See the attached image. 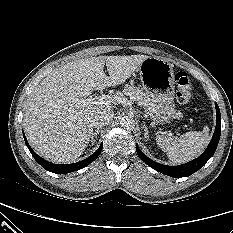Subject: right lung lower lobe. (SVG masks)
<instances>
[{
  "mask_svg": "<svg viewBox=\"0 0 233 233\" xmlns=\"http://www.w3.org/2000/svg\"><path fill=\"white\" fill-rule=\"evenodd\" d=\"M24 136V140L26 143V146L28 147V149L30 150L32 156L34 157V159L47 171L56 173V174H65V173H70L73 171H77L79 169H82L84 167H86L87 165H89L90 163H92L100 154L102 151V147L103 144H101L99 146V148L97 149L96 152H94L91 156H89L88 158H86L85 160H82L80 162L77 163H73V164H53L51 162H48L46 160H44L43 158L39 157L30 147V145L27 142V139L23 133Z\"/></svg>",
  "mask_w": 233,
  "mask_h": 233,
  "instance_id": "obj_1",
  "label": "right lung lower lobe"
}]
</instances>
